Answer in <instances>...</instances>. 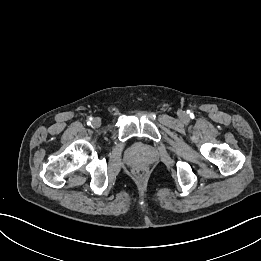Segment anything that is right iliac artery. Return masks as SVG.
I'll use <instances>...</instances> for the list:
<instances>
[{
  "mask_svg": "<svg viewBox=\"0 0 261 261\" xmlns=\"http://www.w3.org/2000/svg\"><path fill=\"white\" fill-rule=\"evenodd\" d=\"M90 120H92V118H90ZM87 124L90 125V121Z\"/></svg>",
  "mask_w": 261,
  "mask_h": 261,
  "instance_id": "82829eb1",
  "label": "right iliac artery"
}]
</instances>
